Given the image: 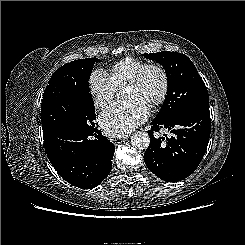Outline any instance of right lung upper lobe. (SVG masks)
Masks as SVG:
<instances>
[{"label": "right lung upper lobe", "mask_w": 245, "mask_h": 245, "mask_svg": "<svg viewBox=\"0 0 245 245\" xmlns=\"http://www.w3.org/2000/svg\"><path fill=\"white\" fill-rule=\"evenodd\" d=\"M62 72V67L56 70L48 82L41 104V117H44L47 112L56 108L62 87Z\"/></svg>", "instance_id": "cb5924a9"}]
</instances>
